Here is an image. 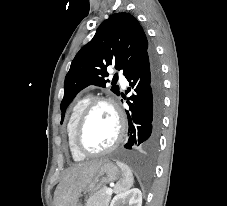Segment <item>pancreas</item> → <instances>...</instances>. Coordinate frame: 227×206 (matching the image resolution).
Returning a JSON list of instances; mask_svg holds the SVG:
<instances>
[{
	"label": "pancreas",
	"mask_w": 227,
	"mask_h": 206,
	"mask_svg": "<svg viewBox=\"0 0 227 206\" xmlns=\"http://www.w3.org/2000/svg\"><path fill=\"white\" fill-rule=\"evenodd\" d=\"M107 189V187H103L91 195L87 200L86 206H108L111 194L106 193Z\"/></svg>",
	"instance_id": "cf45deb5"
}]
</instances>
